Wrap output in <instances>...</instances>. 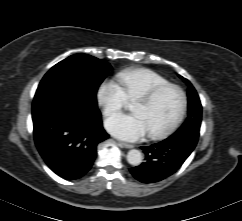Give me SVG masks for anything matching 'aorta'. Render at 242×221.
<instances>
[{
  "label": "aorta",
  "instance_id": "obj_1",
  "mask_svg": "<svg viewBox=\"0 0 242 221\" xmlns=\"http://www.w3.org/2000/svg\"><path fill=\"white\" fill-rule=\"evenodd\" d=\"M127 161L130 165L138 166L142 162V153L139 150L132 149L127 153Z\"/></svg>",
  "mask_w": 242,
  "mask_h": 221
}]
</instances>
